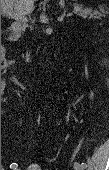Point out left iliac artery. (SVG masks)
<instances>
[{"instance_id": "obj_1", "label": "left iliac artery", "mask_w": 109, "mask_h": 170, "mask_svg": "<svg viewBox=\"0 0 109 170\" xmlns=\"http://www.w3.org/2000/svg\"><path fill=\"white\" fill-rule=\"evenodd\" d=\"M81 165L86 168L87 167V164L86 163H81Z\"/></svg>"}]
</instances>
